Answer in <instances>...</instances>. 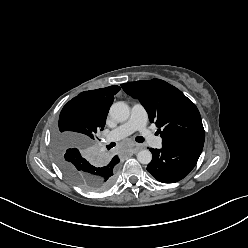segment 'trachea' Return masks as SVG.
<instances>
[{"label":"trachea","instance_id":"1","mask_svg":"<svg viewBox=\"0 0 248 248\" xmlns=\"http://www.w3.org/2000/svg\"><path fill=\"white\" fill-rule=\"evenodd\" d=\"M136 141L142 143L144 141V138L142 136H138L136 137Z\"/></svg>","mask_w":248,"mask_h":248}]
</instances>
